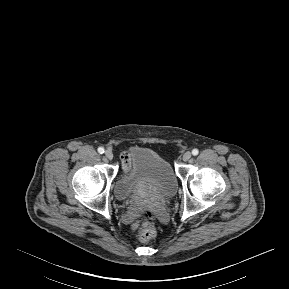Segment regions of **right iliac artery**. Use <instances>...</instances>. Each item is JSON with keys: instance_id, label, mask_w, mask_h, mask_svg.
Here are the masks:
<instances>
[{"instance_id": "82829eb1", "label": "right iliac artery", "mask_w": 289, "mask_h": 289, "mask_svg": "<svg viewBox=\"0 0 289 289\" xmlns=\"http://www.w3.org/2000/svg\"><path fill=\"white\" fill-rule=\"evenodd\" d=\"M98 152H99L100 154H103V153H104V148H103V147H99V148H98Z\"/></svg>"}]
</instances>
